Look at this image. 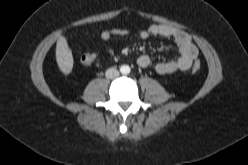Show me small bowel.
Returning <instances> with one entry per match:
<instances>
[{"label": "small bowel", "instance_id": "c3829d8e", "mask_svg": "<svg viewBox=\"0 0 248 165\" xmlns=\"http://www.w3.org/2000/svg\"><path fill=\"white\" fill-rule=\"evenodd\" d=\"M129 30L123 28H111L100 33L101 40H109L114 37H126ZM151 36L162 37L173 41L179 50V55L171 60L154 62L149 55L143 54L137 58L138 66L152 68L156 73L165 75L176 71H185L191 68L198 56V49L191 37L184 31L168 25H153L137 34L140 40H146ZM108 56L114 54L113 49L105 48Z\"/></svg>", "mask_w": 248, "mask_h": 165}]
</instances>
